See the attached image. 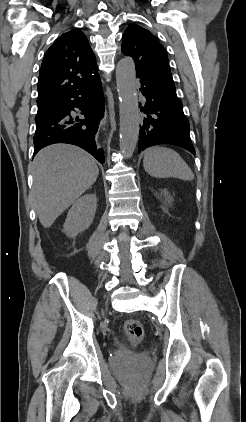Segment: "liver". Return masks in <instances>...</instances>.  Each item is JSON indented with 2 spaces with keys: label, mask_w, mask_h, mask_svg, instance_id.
Instances as JSON below:
<instances>
[{
  "label": "liver",
  "mask_w": 246,
  "mask_h": 422,
  "mask_svg": "<svg viewBox=\"0 0 246 422\" xmlns=\"http://www.w3.org/2000/svg\"><path fill=\"white\" fill-rule=\"evenodd\" d=\"M31 200L44 228H49L96 181L99 169L86 151L69 144L45 147L32 163Z\"/></svg>",
  "instance_id": "6515ba94"
}]
</instances>
